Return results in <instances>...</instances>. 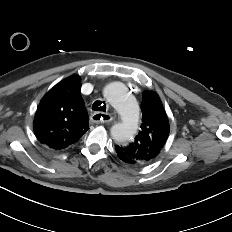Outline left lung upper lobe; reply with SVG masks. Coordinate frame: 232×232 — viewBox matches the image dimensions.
<instances>
[{
	"mask_svg": "<svg viewBox=\"0 0 232 232\" xmlns=\"http://www.w3.org/2000/svg\"><path fill=\"white\" fill-rule=\"evenodd\" d=\"M141 110V130L135 140L128 145L115 146L136 166L146 165L157 158L170 131L168 117L155 92L147 91L143 94Z\"/></svg>",
	"mask_w": 232,
	"mask_h": 232,
	"instance_id": "left-lung-upper-lobe-1",
	"label": "left lung upper lobe"
}]
</instances>
